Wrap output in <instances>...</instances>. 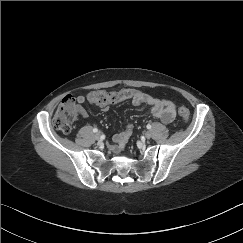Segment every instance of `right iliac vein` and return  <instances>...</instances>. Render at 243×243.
<instances>
[{
    "instance_id": "63e3f726",
    "label": "right iliac vein",
    "mask_w": 243,
    "mask_h": 243,
    "mask_svg": "<svg viewBox=\"0 0 243 243\" xmlns=\"http://www.w3.org/2000/svg\"><path fill=\"white\" fill-rule=\"evenodd\" d=\"M94 137H95L96 140H99L101 135H100V133H96Z\"/></svg>"
}]
</instances>
